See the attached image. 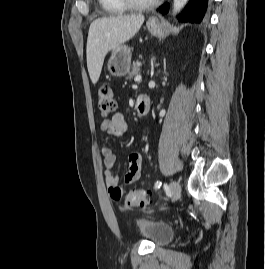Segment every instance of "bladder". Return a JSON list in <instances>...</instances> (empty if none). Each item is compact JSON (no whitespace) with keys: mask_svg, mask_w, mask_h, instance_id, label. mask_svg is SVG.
<instances>
[{"mask_svg":"<svg viewBox=\"0 0 265 269\" xmlns=\"http://www.w3.org/2000/svg\"><path fill=\"white\" fill-rule=\"evenodd\" d=\"M135 230L155 246H164L174 237V229L167 223L139 216L134 222Z\"/></svg>","mask_w":265,"mask_h":269,"instance_id":"obj_1","label":"bladder"}]
</instances>
